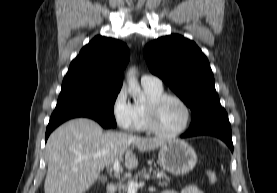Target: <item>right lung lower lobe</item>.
I'll use <instances>...</instances> for the list:
<instances>
[{"label":"right lung lower lobe","mask_w":277,"mask_h":193,"mask_svg":"<svg viewBox=\"0 0 277 193\" xmlns=\"http://www.w3.org/2000/svg\"><path fill=\"white\" fill-rule=\"evenodd\" d=\"M76 117H87V118H91L96 120L97 122H99L101 124V126H103L104 128H111V126L89 114H85V113H79V112H71V111H59V112H53V114L51 115L49 124L47 126L46 129V134H45V140H47L48 136L50 135V133L60 124H62L63 122H65L66 120L72 119V118H76Z\"/></svg>","instance_id":"98d812e1"}]
</instances>
